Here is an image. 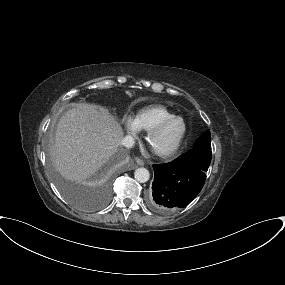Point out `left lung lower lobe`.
<instances>
[{
  "label": "left lung lower lobe",
  "mask_w": 285,
  "mask_h": 285,
  "mask_svg": "<svg viewBox=\"0 0 285 285\" xmlns=\"http://www.w3.org/2000/svg\"><path fill=\"white\" fill-rule=\"evenodd\" d=\"M153 169L155 176L148 202L160 213L188 205L199 194L206 179L205 171L175 161L154 165Z\"/></svg>",
  "instance_id": "0a47b994"
}]
</instances>
